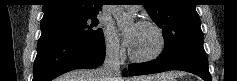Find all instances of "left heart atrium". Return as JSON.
I'll list each match as a JSON object with an SVG mask.
<instances>
[{
  "mask_svg": "<svg viewBox=\"0 0 237 81\" xmlns=\"http://www.w3.org/2000/svg\"><path fill=\"white\" fill-rule=\"evenodd\" d=\"M136 26H133L125 35L126 43L131 47L134 42Z\"/></svg>",
  "mask_w": 237,
  "mask_h": 81,
  "instance_id": "obj_1",
  "label": "left heart atrium"
}]
</instances>
